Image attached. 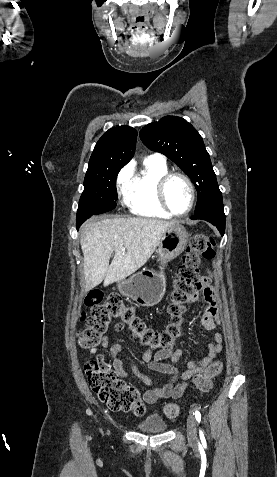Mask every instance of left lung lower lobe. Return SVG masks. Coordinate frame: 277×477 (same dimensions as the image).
I'll return each instance as SVG.
<instances>
[{"instance_id":"1","label":"left lung lower lobe","mask_w":277,"mask_h":477,"mask_svg":"<svg viewBox=\"0 0 277 477\" xmlns=\"http://www.w3.org/2000/svg\"><path fill=\"white\" fill-rule=\"evenodd\" d=\"M191 219H202L212 223L220 231L221 235H224L225 231V214L223 210L222 197L213 202L205 210L200 213L194 214Z\"/></svg>"}]
</instances>
